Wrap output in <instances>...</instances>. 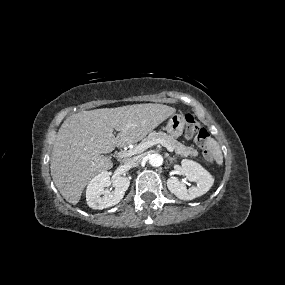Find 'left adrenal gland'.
Here are the masks:
<instances>
[{"label": "left adrenal gland", "mask_w": 285, "mask_h": 285, "mask_svg": "<svg viewBox=\"0 0 285 285\" xmlns=\"http://www.w3.org/2000/svg\"><path fill=\"white\" fill-rule=\"evenodd\" d=\"M168 160H169V161L176 160V157H168Z\"/></svg>", "instance_id": "a2214340"}]
</instances>
